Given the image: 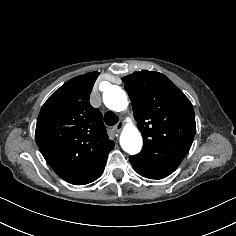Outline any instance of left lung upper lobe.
Instances as JSON below:
<instances>
[{"label":"left lung upper lobe","mask_w":236,"mask_h":236,"mask_svg":"<svg viewBox=\"0 0 236 236\" xmlns=\"http://www.w3.org/2000/svg\"><path fill=\"white\" fill-rule=\"evenodd\" d=\"M122 81L144 141L142 151L134 157L152 164L178 166L196 132L191 102L159 72L142 70Z\"/></svg>","instance_id":"left-lung-upper-lobe-1"}]
</instances>
